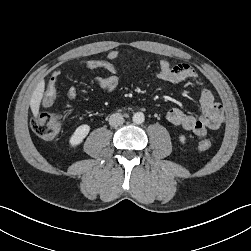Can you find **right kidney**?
Wrapping results in <instances>:
<instances>
[{
    "mask_svg": "<svg viewBox=\"0 0 251 251\" xmlns=\"http://www.w3.org/2000/svg\"><path fill=\"white\" fill-rule=\"evenodd\" d=\"M90 126L87 124L80 125L69 138V145L72 148L77 147L82 143L83 139L88 135Z\"/></svg>",
    "mask_w": 251,
    "mask_h": 251,
    "instance_id": "right-kidney-1",
    "label": "right kidney"
}]
</instances>
